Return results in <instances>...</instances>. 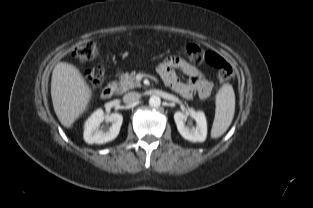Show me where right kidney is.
Here are the masks:
<instances>
[{
	"label": "right kidney",
	"mask_w": 313,
	"mask_h": 208,
	"mask_svg": "<svg viewBox=\"0 0 313 208\" xmlns=\"http://www.w3.org/2000/svg\"><path fill=\"white\" fill-rule=\"evenodd\" d=\"M106 120L111 123L110 127L100 128ZM123 116L119 113L104 116L102 109L96 110L85 122L83 138L88 144H103L114 140L120 131Z\"/></svg>",
	"instance_id": "right-kidney-1"
}]
</instances>
